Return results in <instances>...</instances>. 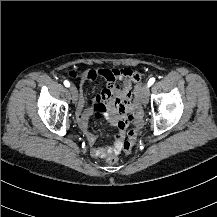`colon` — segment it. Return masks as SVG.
<instances>
[{"label": "colon", "instance_id": "colon-1", "mask_svg": "<svg viewBox=\"0 0 217 217\" xmlns=\"http://www.w3.org/2000/svg\"><path fill=\"white\" fill-rule=\"evenodd\" d=\"M72 77H76V73L72 74ZM133 89L135 91H139L142 89V84L141 83H137L133 86ZM130 121L133 122L132 126L133 128L130 129L128 131V138H127V141L125 142V144L123 145V151L124 153L126 154H131V149H132V146H133V142L135 141L136 139V133H137V128H138V121H136V117L135 116H130ZM106 161L109 163V164H114L116 161H117V158L114 156V155H109L107 158H106Z\"/></svg>", "mask_w": 217, "mask_h": 217}]
</instances>
